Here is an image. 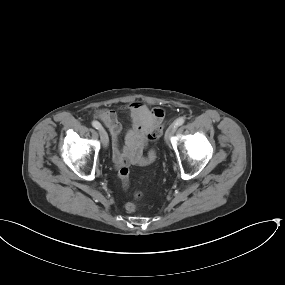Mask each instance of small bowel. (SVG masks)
Here are the masks:
<instances>
[{
  "label": "small bowel",
  "mask_w": 285,
  "mask_h": 285,
  "mask_svg": "<svg viewBox=\"0 0 285 285\" xmlns=\"http://www.w3.org/2000/svg\"><path fill=\"white\" fill-rule=\"evenodd\" d=\"M131 118V128L126 135L127 148L122 151L119 147L118 138L121 125L117 114L111 109H99L94 116L106 124L112 135V158L117 167L131 164L148 165L154 160V153L146 156L142 154L146 146V135L157 125L163 123L165 111L160 107L149 109L140 102H133L126 108Z\"/></svg>",
  "instance_id": "c3829d8e"
}]
</instances>
